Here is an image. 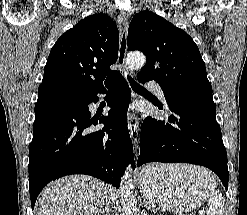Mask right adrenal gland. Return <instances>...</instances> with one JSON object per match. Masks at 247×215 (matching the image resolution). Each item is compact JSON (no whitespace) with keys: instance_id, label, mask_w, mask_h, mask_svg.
I'll return each mask as SVG.
<instances>
[{"instance_id":"right-adrenal-gland-1","label":"right adrenal gland","mask_w":247,"mask_h":215,"mask_svg":"<svg viewBox=\"0 0 247 215\" xmlns=\"http://www.w3.org/2000/svg\"><path fill=\"white\" fill-rule=\"evenodd\" d=\"M110 204H111V202H110V200L108 199V202H107V204H106L105 211H104V214H103V215H108V214L110 213V211H111V209H110Z\"/></svg>"}]
</instances>
